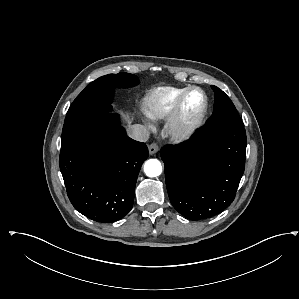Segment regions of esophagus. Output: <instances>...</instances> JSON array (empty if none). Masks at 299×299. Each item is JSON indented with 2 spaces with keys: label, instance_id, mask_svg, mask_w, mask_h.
<instances>
[{
  "label": "esophagus",
  "instance_id": "esophagus-1",
  "mask_svg": "<svg viewBox=\"0 0 299 299\" xmlns=\"http://www.w3.org/2000/svg\"><path fill=\"white\" fill-rule=\"evenodd\" d=\"M159 147H158V144L157 143H151L149 145V154L150 155H153L155 154L157 151H158Z\"/></svg>",
  "mask_w": 299,
  "mask_h": 299
}]
</instances>
